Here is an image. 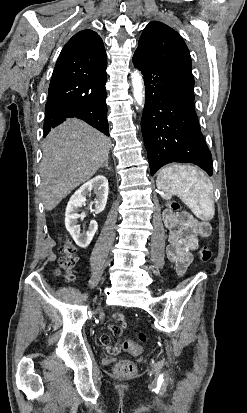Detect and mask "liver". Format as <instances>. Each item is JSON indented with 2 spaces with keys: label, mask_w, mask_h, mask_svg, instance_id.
Returning a JSON list of instances; mask_svg holds the SVG:
<instances>
[{
  "label": "liver",
  "mask_w": 247,
  "mask_h": 413,
  "mask_svg": "<svg viewBox=\"0 0 247 413\" xmlns=\"http://www.w3.org/2000/svg\"><path fill=\"white\" fill-rule=\"evenodd\" d=\"M110 146L108 136L78 118L52 128L40 162L44 209L52 211L73 188L89 180L109 158Z\"/></svg>",
  "instance_id": "1"
}]
</instances>
